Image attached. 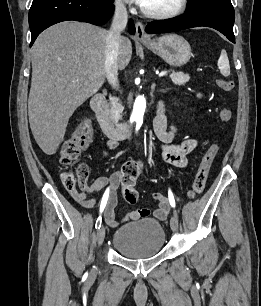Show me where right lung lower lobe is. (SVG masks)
<instances>
[{
	"label": "right lung lower lobe",
	"mask_w": 261,
	"mask_h": 306,
	"mask_svg": "<svg viewBox=\"0 0 261 306\" xmlns=\"http://www.w3.org/2000/svg\"><path fill=\"white\" fill-rule=\"evenodd\" d=\"M113 10V2L104 0H33L29 11L30 47L37 36L53 24L75 20L103 25L110 19ZM129 31L131 34L135 32L132 23Z\"/></svg>",
	"instance_id": "right-lung-lower-lobe-1"
}]
</instances>
